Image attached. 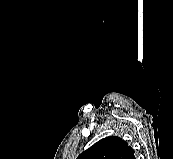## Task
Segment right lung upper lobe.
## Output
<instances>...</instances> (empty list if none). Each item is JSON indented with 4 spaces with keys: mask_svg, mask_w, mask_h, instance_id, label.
Returning <instances> with one entry per match:
<instances>
[{
    "mask_svg": "<svg viewBox=\"0 0 173 159\" xmlns=\"http://www.w3.org/2000/svg\"><path fill=\"white\" fill-rule=\"evenodd\" d=\"M77 159H135L133 149L120 137L101 139L82 152Z\"/></svg>",
    "mask_w": 173,
    "mask_h": 159,
    "instance_id": "obj_1",
    "label": "right lung upper lobe"
}]
</instances>
